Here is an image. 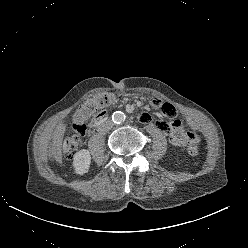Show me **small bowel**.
Listing matches in <instances>:
<instances>
[{"mask_svg": "<svg viewBox=\"0 0 248 248\" xmlns=\"http://www.w3.org/2000/svg\"><path fill=\"white\" fill-rule=\"evenodd\" d=\"M152 108L159 111V117L156 119V127L164 131L169 139L171 145L175 147H185L193 140V137L197 135L195 127L192 125V130L186 132L184 126L180 120H176L169 124L167 121H171L176 118L178 109L175 104L171 102H164L163 100L153 97L151 99ZM109 111L105 109L99 114H96L92 120L95 122L98 118L105 116ZM139 119L142 123H148L151 117L148 113L143 112L140 114Z\"/></svg>", "mask_w": 248, "mask_h": 248, "instance_id": "c3829d8e", "label": "small bowel"}]
</instances>
